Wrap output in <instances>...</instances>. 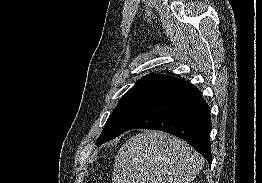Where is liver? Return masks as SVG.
<instances>
[{"label": "liver", "instance_id": "liver-1", "mask_svg": "<svg viewBox=\"0 0 262 183\" xmlns=\"http://www.w3.org/2000/svg\"><path fill=\"white\" fill-rule=\"evenodd\" d=\"M203 166V157L185 141L149 130L121 146L112 183H189Z\"/></svg>", "mask_w": 262, "mask_h": 183}]
</instances>
